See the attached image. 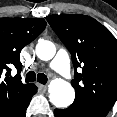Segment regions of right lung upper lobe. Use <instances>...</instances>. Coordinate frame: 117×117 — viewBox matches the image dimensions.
Returning <instances> with one entry per match:
<instances>
[{
	"label": "right lung upper lobe",
	"mask_w": 117,
	"mask_h": 117,
	"mask_svg": "<svg viewBox=\"0 0 117 117\" xmlns=\"http://www.w3.org/2000/svg\"><path fill=\"white\" fill-rule=\"evenodd\" d=\"M46 27L41 18H0V117L11 111L31 91L33 84H23L20 75L11 76L10 67H22V48Z\"/></svg>",
	"instance_id": "obj_1"
}]
</instances>
